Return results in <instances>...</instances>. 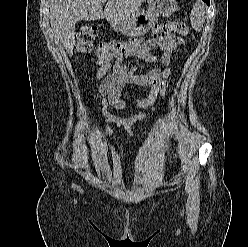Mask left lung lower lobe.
Returning <instances> with one entry per match:
<instances>
[{
    "instance_id": "left-lung-lower-lobe-1",
    "label": "left lung lower lobe",
    "mask_w": 248,
    "mask_h": 247,
    "mask_svg": "<svg viewBox=\"0 0 248 247\" xmlns=\"http://www.w3.org/2000/svg\"><path fill=\"white\" fill-rule=\"evenodd\" d=\"M207 5H210V0H203Z\"/></svg>"
}]
</instances>
